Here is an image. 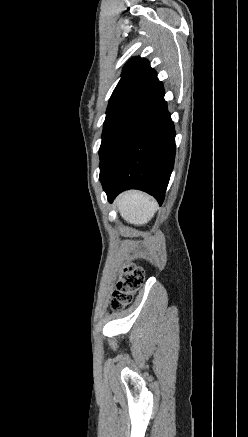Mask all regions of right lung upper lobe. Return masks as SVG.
Wrapping results in <instances>:
<instances>
[{"label":"right lung upper lobe","mask_w":248,"mask_h":437,"mask_svg":"<svg viewBox=\"0 0 248 437\" xmlns=\"http://www.w3.org/2000/svg\"><path fill=\"white\" fill-rule=\"evenodd\" d=\"M157 79V74L145 58L134 57L124 66L121 79L111 95L110 101L131 93L140 94Z\"/></svg>","instance_id":"cb5924a9"}]
</instances>
